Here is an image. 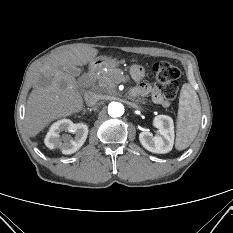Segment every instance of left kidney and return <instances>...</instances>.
Wrapping results in <instances>:
<instances>
[{
    "instance_id": "1",
    "label": "left kidney",
    "mask_w": 233,
    "mask_h": 233,
    "mask_svg": "<svg viewBox=\"0 0 233 233\" xmlns=\"http://www.w3.org/2000/svg\"><path fill=\"white\" fill-rule=\"evenodd\" d=\"M153 124L158 128V135L153 136L148 129L143 128L139 134L140 143L146 150L153 153L170 152L174 143L173 119L167 115H158L154 118Z\"/></svg>"
}]
</instances>
